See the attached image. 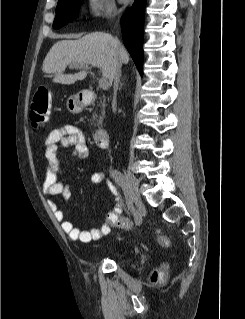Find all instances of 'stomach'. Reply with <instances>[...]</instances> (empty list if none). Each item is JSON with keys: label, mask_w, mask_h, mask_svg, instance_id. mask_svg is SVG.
Instances as JSON below:
<instances>
[{"label": "stomach", "mask_w": 245, "mask_h": 319, "mask_svg": "<svg viewBox=\"0 0 245 319\" xmlns=\"http://www.w3.org/2000/svg\"><path fill=\"white\" fill-rule=\"evenodd\" d=\"M67 109L72 114H78L82 112L85 105L83 101L81 100L79 95H72L67 99L66 102Z\"/></svg>", "instance_id": "1"}]
</instances>
